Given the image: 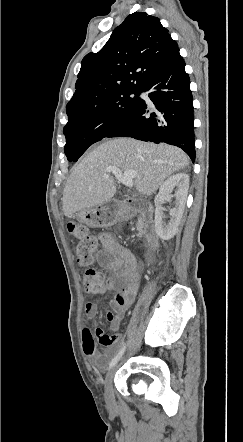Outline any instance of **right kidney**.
Wrapping results in <instances>:
<instances>
[{"mask_svg":"<svg viewBox=\"0 0 243 442\" xmlns=\"http://www.w3.org/2000/svg\"><path fill=\"white\" fill-rule=\"evenodd\" d=\"M189 188V176L185 173H177L169 177L159 189L158 195L155 197V231L157 236L162 240H169L176 234L180 220L182 218ZM175 192V206L170 209V221H163L164 209L161 206L165 201L171 202Z\"/></svg>","mask_w":243,"mask_h":442,"instance_id":"obj_1","label":"right kidney"}]
</instances>
